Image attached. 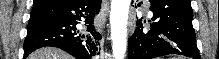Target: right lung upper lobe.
<instances>
[{"label": "right lung upper lobe", "instance_id": "1", "mask_svg": "<svg viewBox=\"0 0 219 59\" xmlns=\"http://www.w3.org/2000/svg\"><path fill=\"white\" fill-rule=\"evenodd\" d=\"M53 0H34V5L38 4V3H42V2H50Z\"/></svg>", "mask_w": 219, "mask_h": 59}]
</instances>
